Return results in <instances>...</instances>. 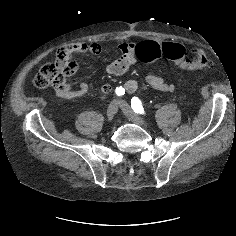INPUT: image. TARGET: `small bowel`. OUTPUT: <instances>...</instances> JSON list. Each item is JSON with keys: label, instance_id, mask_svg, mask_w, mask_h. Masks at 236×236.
<instances>
[{"label": "small bowel", "instance_id": "c3829d8e", "mask_svg": "<svg viewBox=\"0 0 236 236\" xmlns=\"http://www.w3.org/2000/svg\"><path fill=\"white\" fill-rule=\"evenodd\" d=\"M141 43H152L156 45H161V43L146 40ZM124 42L119 45V49L122 52V56L117 60L109 63L105 67V72L110 75L119 76L126 73L137 61L136 49L141 44ZM67 51L71 57L74 54H92L99 55L101 53V46L96 43H85V42H75L63 48ZM79 68V63L72 58V63L69 67L68 74L65 76L64 80L54 86V93L57 97L63 99H72L77 97H82L87 94L89 86L86 82H79L77 85L73 86L67 82L68 78L74 74ZM146 82L150 87L155 90L162 92H174L177 87L174 84L167 83L161 77L149 71L146 74ZM138 88V82L136 80H128L124 84V89L128 94L135 92ZM112 87L110 84H103L100 87L102 94L107 95L111 92Z\"/></svg>", "mask_w": 236, "mask_h": 236}]
</instances>
